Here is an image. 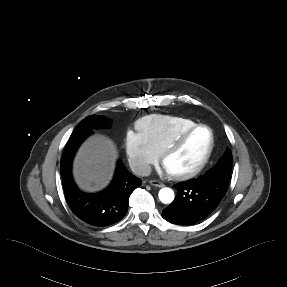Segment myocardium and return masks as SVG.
I'll return each instance as SVG.
<instances>
[{
    "mask_svg": "<svg viewBox=\"0 0 287 287\" xmlns=\"http://www.w3.org/2000/svg\"><path fill=\"white\" fill-rule=\"evenodd\" d=\"M200 128H205L209 131L210 133V144L209 147L201 159V161L191 170L186 171V172H180V173H169L167 172L168 176L174 180H188L196 175H198L208 164V162L211 159V156L214 151L215 147V135L213 132V129L206 125V124H196L193 127L181 132L177 137H175L163 150L161 154V164L163 165L166 159L172 155L174 152H176L183 144L184 142L191 136L196 130Z\"/></svg>",
    "mask_w": 287,
    "mask_h": 287,
    "instance_id": "f54148a6",
    "label": "myocardium"
}]
</instances>
